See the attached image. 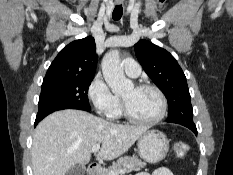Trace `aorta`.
Segmentation results:
<instances>
[{"mask_svg":"<svg viewBox=\"0 0 233 175\" xmlns=\"http://www.w3.org/2000/svg\"><path fill=\"white\" fill-rule=\"evenodd\" d=\"M102 72L105 81L114 93H120L133 87L131 80L124 75L118 50H111L102 60Z\"/></svg>","mask_w":233,"mask_h":175,"instance_id":"obj_1","label":"aorta"}]
</instances>
